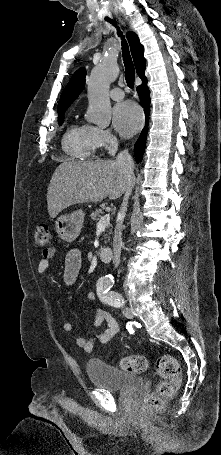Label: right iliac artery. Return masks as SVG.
I'll return each mask as SVG.
<instances>
[{
    "label": "right iliac artery",
    "instance_id": "82829eb1",
    "mask_svg": "<svg viewBox=\"0 0 221 455\" xmlns=\"http://www.w3.org/2000/svg\"><path fill=\"white\" fill-rule=\"evenodd\" d=\"M132 329H133V328H132L131 326H130V327L128 326V327L125 329V331H124L125 334H127V335L130 334ZM131 335H132V334H131Z\"/></svg>",
    "mask_w": 221,
    "mask_h": 455
}]
</instances>
